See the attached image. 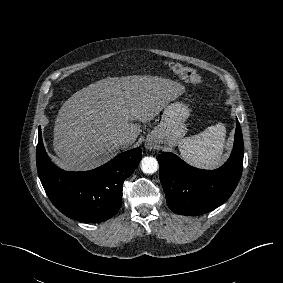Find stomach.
I'll list each match as a JSON object with an SVG mask.
<instances>
[{
	"mask_svg": "<svg viewBox=\"0 0 283 283\" xmlns=\"http://www.w3.org/2000/svg\"><path fill=\"white\" fill-rule=\"evenodd\" d=\"M190 111L187 105L176 101L166 105L160 123L148 134L147 145H167L174 147L187 133L185 121Z\"/></svg>",
	"mask_w": 283,
	"mask_h": 283,
	"instance_id": "0dacf381",
	"label": "stomach"
}]
</instances>
